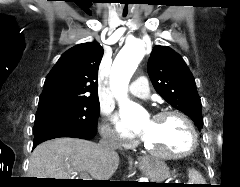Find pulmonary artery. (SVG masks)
Wrapping results in <instances>:
<instances>
[{
    "instance_id": "e3ab8cb5",
    "label": "pulmonary artery",
    "mask_w": 240,
    "mask_h": 187,
    "mask_svg": "<svg viewBox=\"0 0 240 187\" xmlns=\"http://www.w3.org/2000/svg\"><path fill=\"white\" fill-rule=\"evenodd\" d=\"M129 92L138 98L147 99L150 96L148 80L145 77H139L129 86Z\"/></svg>"
}]
</instances>
